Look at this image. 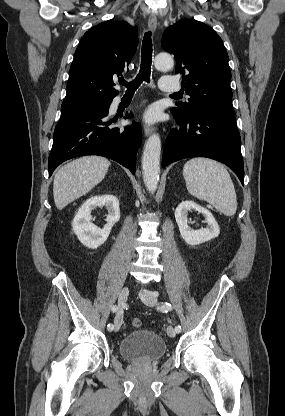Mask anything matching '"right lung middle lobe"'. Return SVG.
Instances as JSON below:
<instances>
[{"instance_id": "1", "label": "right lung middle lobe", "mask_w": 285, "mask_h": 416, "mask_svg": "<svg viewBox=\"0 0 285 416\" xmlns=\"http://www.w3.org/2000/svg\"><path fill=\"white\" fill-rule=\"evenodd\" d=\"M111 101L103 102H71L63 103L61 106V115H67L71 113H78L92 110L108 109Z\"/></svg>"}]
</instances>
